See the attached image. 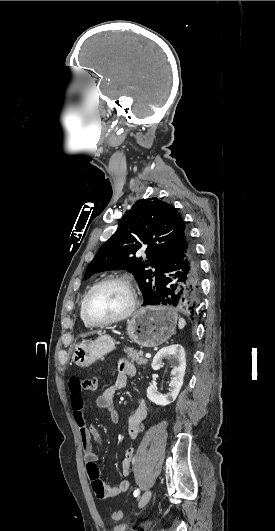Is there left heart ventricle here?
<instances>
[{
  "mask_svg": "<svg viewBox=\"0 0 275 531\" xmlns=\"http://www.w3.org/2000/svg\"><path fill=\"white\" fill-rule=\"evenodd\" d=\"M131 294L122 284L109 283L95 290L85 305L86 316L104 321L123 314L130 306Z\"/></svg>",
  "mask_w": 275,
  "mask_h": 531,
  "instance_id": "left-heart-ventricle-1",
  "label": "left heart ventricle"
}]
</instances>
